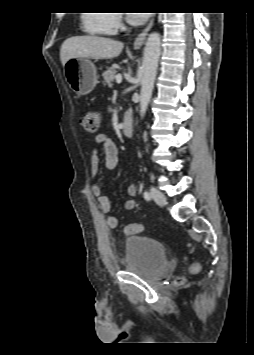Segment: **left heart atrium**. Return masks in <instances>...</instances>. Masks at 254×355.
Returning <instances> with one entry per match:
<instances>
[{
  "mask_svg": "<svg viewBox=\"0 0 254 355\" xmlns=\"http://www.w3.org/2000/svg\"><path fill=\"white\" fill-rule=\"evenodd\" d=\"M147 17H148L147 13H130L129 22L132 25H141L146 21Z\"/></svg>",
  "mask_w": 254,
  "mask_h": 355,
  "instance_id": "39dd6f15",
  "label": "left heart atrium"
}]
</instances>
